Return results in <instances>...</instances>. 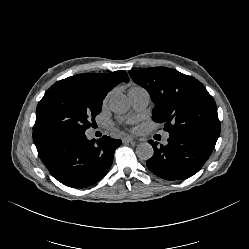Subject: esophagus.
<instances>
[{
    "instance_id": "1",
    "label": "esophagus",
    "mask_w": 249,
    "mask_h": 249,
    "mask_svg": "<svg viewBox=\"0 0 249 249\" xmlns=\"http://www.w3.org/2000/svg\"><path fill=\"white\" fill-rule=\"evenodd\" d=\"M122 141L125 142V143H130V142L133 141V137L129 136V135L123 136Z\"/></svg>"
}]
</instances>
